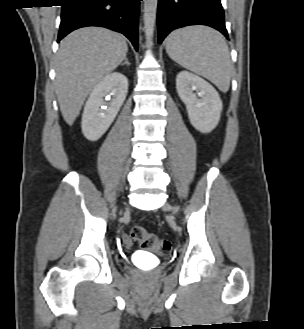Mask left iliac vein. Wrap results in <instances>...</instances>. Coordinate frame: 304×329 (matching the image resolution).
<instances>
[{
	"instance_id": "obj_1",
	"label": "left iliac vein",
	"mask_w": 304,
	"mask_h": 329,
	"mask_svg": "<svg viewBox=\"0 0 304 329\" xmlns=\"http://www.w3.org/2000/svg\"><path fill=\"white\" fill-rule=\"evenodd\" d=\"M163 209L165 210V211H173L174 213H175V210H174V208L170 205V204H165V206L163 207Z\"/></svg>"
}]
</instances>
